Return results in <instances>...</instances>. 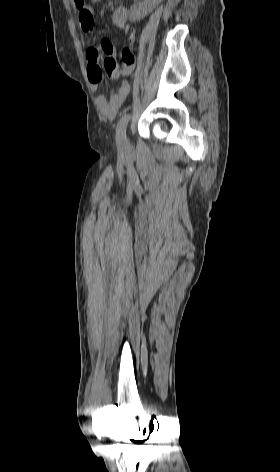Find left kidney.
<instances>
[{
	"label": "left kidney",
	"mask_w": 280,
	"mask_h": 472,
	"mask_svg": "<svg viewBox=\"0 0 280 472\" xmlns=\"http://www.w3.org/2000/svg\"><path fill=\"white\" fill-rule=\"evenodd\" d=\"M161 0H144V2L131 6L130 21H138L151 13Z\"/></svg>",
	"instance_id": "5707ae66"
}]
</instances>
